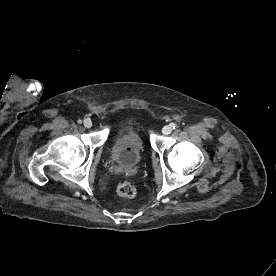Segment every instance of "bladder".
Here are the masks:
<instances>
[{
  "label": "bladder",
  "instance_id": "31cf9c89",
  "mask_svg": "<svg viewBox=\"0 0 276 276\" xmlns=\"http://www.w3.org/2000/svg\"><path fill=\"white\" fill-rule=\"evenodd\" d=\"M145 149L142 136L134 130L121 132L114 140L110 153L111 158L124 167H134L137 165Z\"/></svg>",
  "mask_w": 276,
  "mask_h": 276
}]
</instances>
